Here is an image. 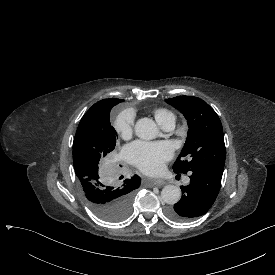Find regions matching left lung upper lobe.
<instances>
[{"label": "left lung upper lobe", "mask_w": 275, "mask_h": 275, "mask_svg": "<svg viewBox=\"0 0 275 275\" xmlns=\"http://www.w3.org/2000/svg\"><path fill=\"white\" fill-rule=\"evenodd\" d=\"M165 101L181 111L188 123L182 152L173 165L175 173L208 170L223 173L225 144L223 128L216 112L202 99L177 96Z\"/></svg>", "instance_id": "5c2ea615"}]
</instances>
